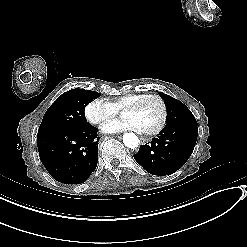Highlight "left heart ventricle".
I'll return each instance as SVG.
<instances>
[{"mask_svg":"<svg viewBox=\"0 0 247 247\" xmlns=\"http://www.w3.org/2000/svg\"><path fill=\"white\" fill-rule=\"evenodd\" d=\"M126 117H133L139 123L141 130L151 131L158 127L162 117V105L156 99L145 100L138 110H130L125 113Z\"/></svg>","mask_w":247,"mask_h":247,"instance_id":"obj_1","label":"left heart ventricle"}]
</instances>
